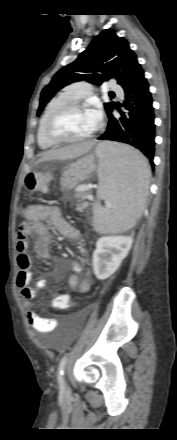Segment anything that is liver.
<instances>
[{
	"mask_svg": "<svg viewBox=\"0 0 177 440\" xmlns=\"http://www.w3.org/2000/svg\"><path fill=\"white\" fill-rule=\"evenodd\" d=\"M95 145L93 141H86L68 145L56 150H50L37 161V163L51 160H68L86 154Z\"/></svg>",
	"mask_w": 177,
	"mask_h": 440,
	"instance_id": "1",
	"label": "liver"
}]
</instances>
